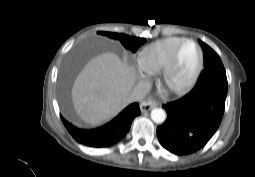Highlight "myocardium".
<instances>
[{"instance_id":"obj_1","label":"myocardium","mask_w":255,"mask_h":177,"mask_svg":"<svg viewBox=\"0 0 255 177\" xmlns=\"http://www.w3.org/2000/svg\"><path fill=\"white\" fill-rule=\"evenodd\" d=\"M188 44L193 45L197 51V61H196L195 67H194L191 75L185 82H183L179 85H173L172 84V74L178 64L179 57L181 55L183 48ZM202 65H203V53H202L200 46L192 39H185L182 43H180L177 46L172 57L167 62V64L163 67V71H162L163 81L173 91L178 92V93L185 92V91L189 90L191 87H193L194 84L197 82L200 72H201V69H202Z\"/></svg>"}]
</instances>
